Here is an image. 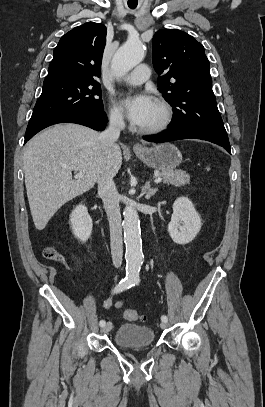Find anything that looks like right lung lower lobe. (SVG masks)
Here are the masks:
<instances>
[{"mask_svg": "<svg viewBox=\"0 0 265 407\" xmlns=\"http://www.w3.org/2000/svg\"><path fill=\"white\" fill-rule=\"evenodd\" d=\"M57 123H77L95 130H103L107 123V116L103 110H80L66 113L50 120L44 121L34 127L27 128L25 143L42 129Z\"/></svg>", "mask_w": 265, "mask_h": 407, "instance_id": "1", "label": "right lung lower lobe"}]
</instances>
